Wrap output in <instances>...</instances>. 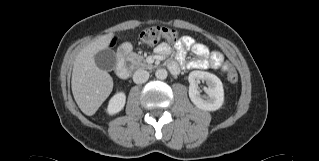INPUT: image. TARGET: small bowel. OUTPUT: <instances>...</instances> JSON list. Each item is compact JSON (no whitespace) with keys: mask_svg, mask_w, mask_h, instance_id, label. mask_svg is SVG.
Segmentation results:
<instances>
[{"mask_svg":"<svg viewBox=\"0 0 319 161\" xmlns=\"http://www.w3.org/2000/svg\"><path fill=\"white\" fill-rule=\"evenodd\" d=\"M187 51H191L197 59L186 62ZM156 52L162 56H169L171 48L167 43H161L156 47ZM176 58L178 62L188 69H206L217 65L222 71H228L230 65L225 61L224 56L219 51H210L209 48L196 42L192 37L184 36L176 44ZM169 68L173 73L178 72L179 65L176 62H170Z\"/></svg>","mask_w":319,"mask_h":161,"instance_id":"c3829d8e","label":"small bowel"}]
</instances>
